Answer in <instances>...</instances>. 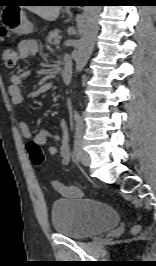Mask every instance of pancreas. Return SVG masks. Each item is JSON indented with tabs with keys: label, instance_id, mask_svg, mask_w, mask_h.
<instances>
[{
	"label": "pancreas",
	"instance_id": "cf45deb5",
	"mask_svg": "<svg viewBox=\"0 0 156 266\" xmlns=\"http://www.w3.org/2000/svg\"><path fill=\"white\" fill-rule=\"evenodd\" d=\"M59 40H60V36H59L58 30L51 31L46 38L47 43L50 45H57V42Z\"/></svg>",
	"mask_w": 156,
	"mask_h": 266
}]
</instances>
